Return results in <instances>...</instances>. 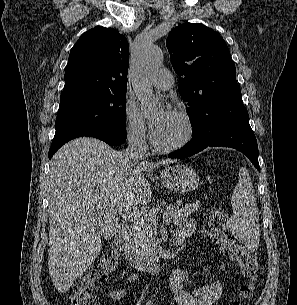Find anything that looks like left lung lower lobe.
I'll list each match as a JSON object with an SVG mask.
<instances>
[{"label":"left lung lower lobe","mask_w":297,"mask_h":305,"mask_svg":"<svg viewBox=\"0 0 297 305\" xmlns=\"http://www.w3.org/2000/svg\"><path fill=\"white\" fill-rule=\"evenodd\" d=\"M215 146L241 151L260 171L257 140L249 124L248 112L243 107L211 121L201 135L193 137L183 149L170 153L168 157L183 158Z\"/></svg>","instance_id":"0a47b994"}]
</instances>
